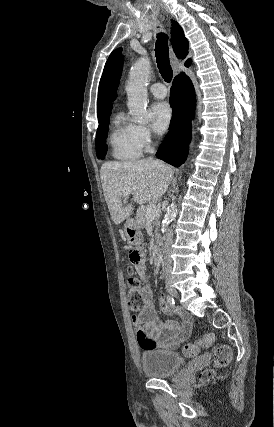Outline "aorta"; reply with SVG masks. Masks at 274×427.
<instances>
[{"instance_id":"762f6f07","label":"aorta","mask_w":274,"mask_h":427,"mask_svg":"<svg viewBox=\"0 0 274 427\" xmlns=\"http://www.w3.org/2000/svg\"><path fill=\"white\" fill-rule=\"evenodd\" d=\"M150 73V61L147 58L138 60L130 70L129 79L126 85L128 97V108L132 117L139 123H145L149 120L146 111L147 105V82ZM194 136V132H193ZM177 214V206L172 203L168 206L166 214L162 221L161 231L164 233L168 225L174 220Z\"/></svg>"}]
</instances>
